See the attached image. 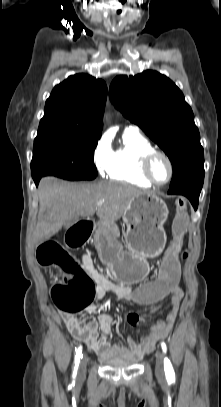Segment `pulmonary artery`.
<instances>
[{
  "label": "pulmonary artery",
  "instance_id": "e3ab8cb5",
  "mask_svg": "<svg viewBox=\"0 0 221 407\" xmlns=\"http://www.w3.org/2000/svg\"><path fill=\"white\" fill-rule=\"evenodd\" d=\"M125 130L138 131V128L135 125H129L126 126Z\"/></svg>",
  "mask_w": 221,
  "mask_h": 407
}]
</instances>
